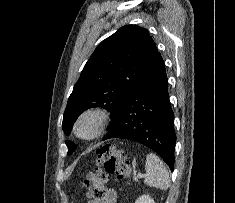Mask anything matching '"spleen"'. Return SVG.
I'll return each instance as SVG.
<instances>
[{
	"label": "spleen",
	"instance_id": "spleen-1",
	"mask_svg": "<svg viewBox=\"0 0 235 203\" xmlns=\"http://www.w3.org/2000/svg\"><path fill=\"white\" fill-rule=\"evenodd\" d=\"M146 177L144 183L148 186L166 190L170 186L169 173L163 162L153 153L146 156Z\"/></svg>",
	"mask_w": 235,
	"mask_h": 203
}]
</instances>
